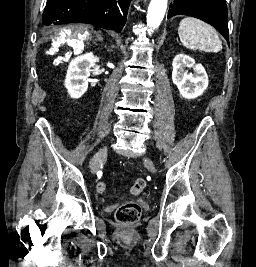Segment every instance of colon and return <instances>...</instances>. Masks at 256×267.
I'll return each mask as SVG.
<instances>
[{
  "label": "colon",
  "instance_id": "obj_1",
  "mask_svg": "<svg viewBox=\"0 0 256 267\" xmlns=\"http://www.w3.org/2000/svg\"><path fill=\"white\" fill-rule=\"evenodd\" d=\"M146 181L143 178H138L131 187V194L138 195L146 188ZM99 193L107 191V184L99 183L97 185ZM141 207L135 202H127L122 204L116 212V223L120 224V228H131L132 224H137L140 217Z\"/></svg>",
  "mask_w": 256,
  "mask_h": 267
}]
</instances>
